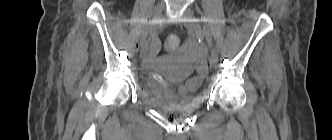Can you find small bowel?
Instances as JSON below:
<instances>
[{
	"label": "small bowel",
	"mask_w": 332,
	"mask_h": 140,
	"mask_svg": "<svg viewBox=\"0 0 332 140\" xmlns=\"http://www.w3.org/2000/svg\"><path fill=\"white\" fill-rule=\"evenodd\" d=\"M185 49H191V45L186 44L184 46ZM159 50V42L157 39H152L150 45L144 50V56L146 59V67H150V64L155 59ZM197 58L199 61V69H200V77L202 78L205 75V65L203 54L201 51H197ZM152 78H156L155 74H151Z\"/></svg>",
	"instance_id": "1"
}]
</instances>
